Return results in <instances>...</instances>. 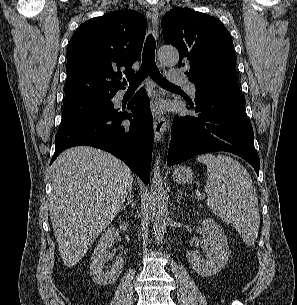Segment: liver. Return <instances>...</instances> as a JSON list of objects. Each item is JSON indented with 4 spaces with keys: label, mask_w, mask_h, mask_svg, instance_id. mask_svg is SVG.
Here are the masks:
<instances>
[{
    "label": "liver",
    "mask_w": 297,
    "mask_h": 305,
    "mask_svg": "<svg viewBox=\"0 0 297 305\" xmlns=\"http://www.w3.org/2000/svg\"><path fill=\"white\" fill-rule=\"evenodd\" d=\"M50 174L52 227L63 263L73 267L121 209L133 175L121 160L89 146L62 152Z\"/></svg>",
    "instance_id": "liver-1"
}]
</instances>
